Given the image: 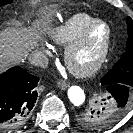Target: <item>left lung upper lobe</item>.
I'll return each mask as SVG.
<instances>
[{"label": "left lung upper lobe", "instance_id": "1", "mask_svg": "<svg viewBox=\"0 0 133 133\" xmlns=\"http://www.w3.org/2000/svg\"><path fill=\"white\" fill-rule=\"evenodd\" d=\"M128 40L126 52L114 67L101 79L102 85L123 84L133 88V20L127 18ZM97 103V102H96ZM126 110H115L106 99H102L95 109H84L77 114V122L93 131L103 130L122 117Z\"/></svg>", "mask_w": 133, "mask_h": 133}]
</instances>
